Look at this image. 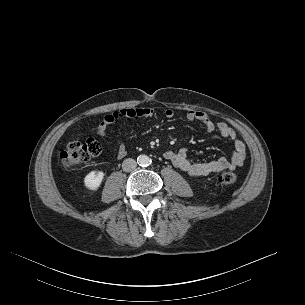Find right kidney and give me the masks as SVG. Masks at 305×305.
Masks as SVG:
<instances>
[{
  "instance_id": "right-kidney-1",
  "label": "right kidney",
  "mask_w": 305,
  "mask_h": 305,
  "mask_svg": "<svg viewBox=\"0 0 305 305\" xmlns=\"http://www.w3.org/2000/svg\"><path fill=\"white\" fill-rule=\"evenodd\" d=\"M104 178V173L102 171H91L89 174H87L84 178V185L92 191L97 190Z\"/></svg>"
}]
</instances>
